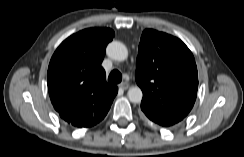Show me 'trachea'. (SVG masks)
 Masks as SVG:
<instances>
[{"label":"trachea","instance_id":"obj_1","mask_svg":"<svg viewBox=\"0 0 244 157\" xmlns=\"http://www.w3.org/2000/svg\"><path fill=\"white\" fill-rule=\"evenodd\" d=\"M108 81L113 84H118L122 81V75L118 70H113L108 77Z\"/></svg>","mask_w":244,"mask_h":157}]
</instances>
